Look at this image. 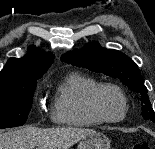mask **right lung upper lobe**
Instances as JSON below:
<instances>
[{
    "label": "right lung upper lobe",
    "instance_id": "right-lung-upper-lobe-1",
    "mask_svg": "<svg viewBox=\"0 0 155 149\" xmlns=\"http://www.w3.org/2000/svg\"><path fill=\"white\" fill-rule=\"evenodd\" d=\"M53 59L54 55L34 47L22 58H10L0 72V80L42 77Z\"/></svg>",
    "mask_w": 155,
    "mask_h": 149
}]
</instances>
